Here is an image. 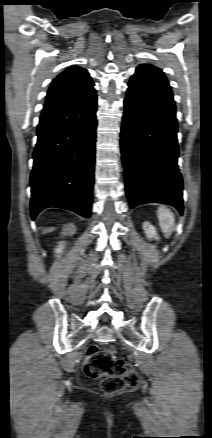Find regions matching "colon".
I'll list each match as a JSON object with an SVG mask.
<instances>
[{
	"label": "colon",
	"mask_w": 212,
	"mask_h": 438,
	"mask_svg": "<svg viewBox=\"0 0 212 438\" xmlns=\"http://www.w3.org/2000/svg\"><path fill=\"white\" fill-rule=\"evenodd\" d=\"M85 374L93 379H102L101 389L105 393H116L138 383L133 367L115 355L113 348L91 346L85 363Z\"/></svg>",
	"instance_id": "5ec220e1"
}]
</instances>
